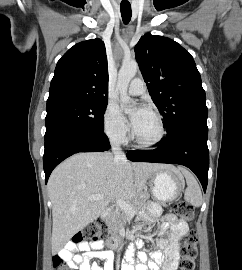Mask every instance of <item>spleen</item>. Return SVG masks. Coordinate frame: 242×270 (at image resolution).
Instances as JSON below:
<instances>
[{
    "instance_id": "obj_1",
    "label": "spleen",
    "mask_w": 242,
    "mask_h": 270,
    "mask_svg": "<svg viewBox=\"0 0 242 270\" xmlns=\"http://www.w3.org/2000/svg\"><path fill=\"white\" fill-rule=\"evenodd\" d=\"M185 176L187 188L185 190V200L193 206L199 207L202 204V193L200 187L191 173L186 170H181Z\"/></svg>"
}]
</instances>
